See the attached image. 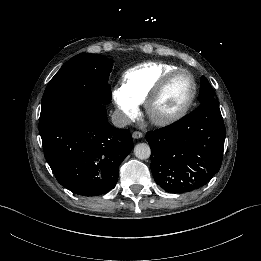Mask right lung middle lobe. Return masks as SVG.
<instances>
[{"mask_svg":"<svg viewBox=\"0 0 261 261\" xmlns=\"http://www.w3.org/2000/svg\"><path fill=\"white\" fill-rule=\"evenodd\" d=\"M113 60L81 53L70 59L51 79L42 97L41 114L84 103L109 104L108 84Z\"/></svg>","mask_w":261,"mask_h":261,"instance_id":"dd1d6c3e","label":"right lung middle lobe"}]
</instances>
